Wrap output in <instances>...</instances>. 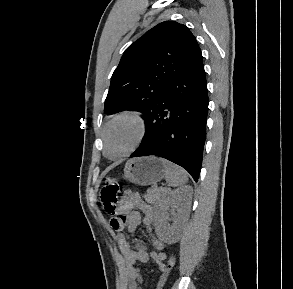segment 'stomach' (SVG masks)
I'll use <instances>...</instances> for the list:
<instances>
[{
    "mask_svg": "<svg viewBox=\"0 0 293 289\" xmlns=\"http://www.w3.org/2000/svg\"><path fill=\"white\" fill-rule=\"evenodd\" d=\"M127 180L137 185L146 186L160 181L164 175L161 160L156 157H139L127 161L124 168Z\"/></svg>",
    "mask_w": 293,
    "mask_h": 289,
    "instance_id": "0dacf381",
    "label": "stomach"
}]
</instances>
